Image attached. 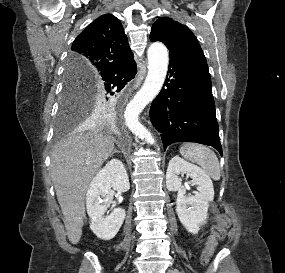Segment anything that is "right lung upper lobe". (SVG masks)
Segmentation results:
<instances>
[{"label":"right lung upper lobe","mask_w":285,"mask_h":273,"mask_svg":"<svg viewBox=\"0 0 285 273\" xmlns=\"http://www.w3.org/2000/svg\"><path fill=\"white\" fill-rule=\"evenodd\" d=\"M71 50L67 69L83 79L133 59L122 24L112 14H104L86 27Z\"/></svg>","instance_id":"right-lung-upper-lobe-1"}]
</instances>
